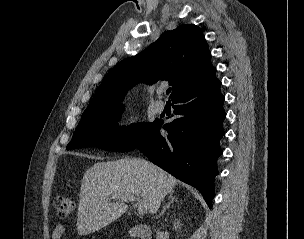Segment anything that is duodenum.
I'll return each instance as SVG.
<instances>
[{
  "label": "duodenum",
  "mask_w": 304,
  "mask_h": 239,
  "mask_svg": "<svg viewBox=\"0 0 304 239\" xmlns=\"http://www.w3.org/2000/svg\"><path fill=\"white\" fill-rule=\"evenodd\" d=\"M129 235L137 239H151V229L148 225L140 224L129 229Z\"/></svg>",
  "instance_id": "duodenum-1"
}]
</instances>
